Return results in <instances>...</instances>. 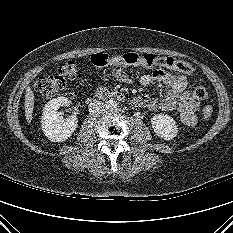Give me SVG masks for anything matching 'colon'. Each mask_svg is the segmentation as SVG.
I'll return each instance as SVG.
<instances>
[{"label":"colon","instance_id":"colon-1","mask_svg":"<svg viewBox=\"0 0 233 233\" xmlns=\"http://www.w3.org/2000/svg\"><path fill=\"white\" fill-rule=\"evenodd\" d=\"M91 63L95 67H105L112 64L122 66L163 67L182 74H191L193 71L189 63L173 57H159L153 54H139L136 52H128L115 56L97 53L91 56ZM77 75L78 64L76 61L70 60L59 68L57 74L36 78L32 83V87L42 97L50 98L56 96L63 90L66 79L75 78ZM192 94L196 99L203 100L207 92L203 86H196ZM212 114V106L206 105L202 111L203 119L205 121L209 120Z\"/></svg>","mask_w":233,"mask_h":233}]
</instances>
